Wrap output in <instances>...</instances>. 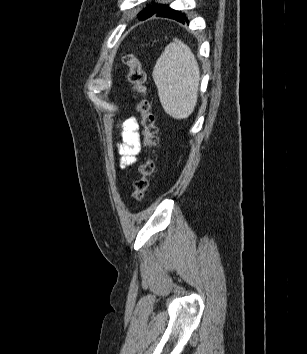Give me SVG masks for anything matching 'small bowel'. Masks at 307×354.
<instances>
[{
    "instance_id": "obj_1",
    "label": "small bowel",
    "mask_w": 307,
    "mask_h": 354,
    "mask_svg": "<svg viewBox=\"0 0 307 354\" xmlns=\"http://www.w3.org/2000/svg\"><path fill=\"white\" fill-rule=\"evenodd\" d=\"M121 143L118 144L120 155V166L126 168L132 166L137 161V155L141 150L139 125L133 117L125 120L120 125Z\"/></svg>"
}]
</instances>
